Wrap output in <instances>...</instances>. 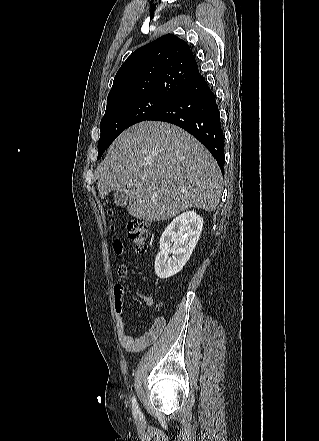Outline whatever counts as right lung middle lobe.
Listing matches in <instances>:
<instances>
[{
    "label": "right lung middle lobe",
    "mask_w": 319,
    "mask_h": 441,
    "mask_svg": "<svg viewBox=\"0 0 319 441\" xmlns=\"http://www.w3.org/2000/svg\"><path fill=\"white\" fill-rule=\"evenodd\" d=\"M170 101V99L145 96L107 108L100 123L101 135L97 160L122 131L133 124L148 120L166 107Z\"/></svg>",
    "instance_id": "obj_1"
}]
</instances>
